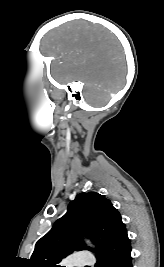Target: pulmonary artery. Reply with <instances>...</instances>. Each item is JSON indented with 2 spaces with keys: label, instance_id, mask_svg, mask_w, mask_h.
Instances as JSON below:
<instances>
[{
  "label": "pulmonary artery",
  "instance_id": "pulmonary-artery-1",
  "mask_svg": "<svg viewBox=\"0 0 164 267\" xmlns=\"http://www.w3.org/2000/svg\"><path fill=\"white\" fill-rule=\"evenodd\" d=\"M69 266L84 267L85 265H93L94 259L89 254L78 255L77 257L70 259Z\"/></svg>",
  "mask_w": 164,
  "mask_h": 267
}]
</instances>
